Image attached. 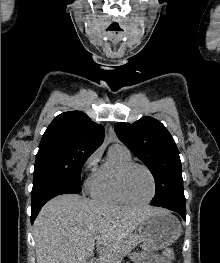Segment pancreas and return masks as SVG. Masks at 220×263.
Masks as SVG:
<instances>
[{
  "instance_id": "pancreas-1",
  "label": "pancreas",
  "mask_w": 220,
  "mask_h": 263,
  "mask_svg": "<svg viewBox=\"0 0 220 263\" xmlns=\"http://www.w3.org/2000/svg\"><path fill=\"white\" fill-rule=\"evenodd\" d=\"M139 242H140V237H139L137 234L130 235V236L127 238L124 246L120 249L119 252H120L121 254H124V253H126L128 250L134 248L137 244H139Z\"/></svg>"
}]
</instances>
